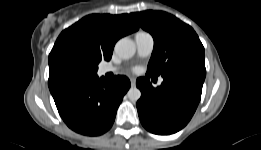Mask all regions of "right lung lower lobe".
<instances>
[{
	"label": "right lung lower lobe",
	"mask_w": 261,
	"mask_h": 150,
	"mask_svg": "<svg viewBox=\"0 0 261 150\" xmlns=\"http://www.w3.org/2000/svg\"><path fill=\"white\" fill-rule=\"evenodd\" d=\"M130 88L125 76L94 78L70 84L52 94L64 122L77 133L89 136L108 131L123 96Z\"/></svg>",
	"instance_id": "98d812e1"
}]
</instances>
